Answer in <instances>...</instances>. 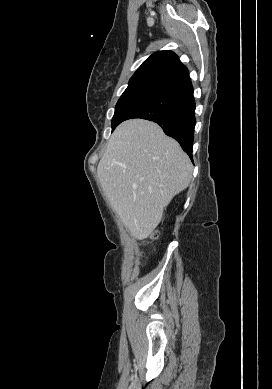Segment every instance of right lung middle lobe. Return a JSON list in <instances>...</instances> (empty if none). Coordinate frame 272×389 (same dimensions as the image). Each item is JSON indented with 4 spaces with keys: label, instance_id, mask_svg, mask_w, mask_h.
<instances>
[{
    "label": "right lung middle lobe",
    "instance_id": "dd1d6c3e",
    "mask_svg": "<svg viewBox=\"0 0 272 389\" xmlns=\"http://www.w3.org/2000/svg\"><path fill=\"white\" fill-rule=\"evenodd\" d=\"M162 87V85L148 82L129 84L116 104L115 113L112 118V131L122 122L125 115L133 107Z\"/></svg>",
    "mask_w": 272,
    "mask_h": 389
}]
</instances>
